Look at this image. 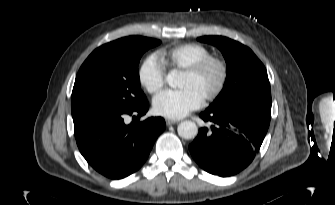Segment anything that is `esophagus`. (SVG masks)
<instances>
[{"instance_id": "obj_1", "label": "esophagus", "mask_w": 335, "mask_h": 205, "mask_svg": "<svg viewBox=\"0 0 335 205\" xmlns=\"http://www.w3.org/2000/svg\"><path fill=\"white\" fill-rule=\"evenodd\" d=\"M178 121H176V120H171V119H167L166 120V124L168 125V126H170V125H173V124H175V123H177Z\"/></svg>"}]
</instances>
